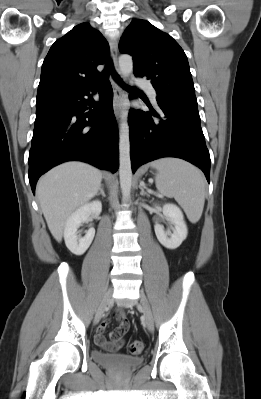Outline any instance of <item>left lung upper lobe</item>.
<instances>
[{
    "instance_id": "5c2ea615",
    "label": "left lung upper lobe",
    "mask_w": 261,
    "mask_h": 399,
    "mask_svg": "<svg viewBox=\"0 0 261 399\" xmlns=\"http://www.w3.org/2000/svg\"><path fill=\"white\" fill-rule=\"evenodd\" d=\"M119 49L133 57L136 76L151 80L157 100L197 101L186 54L170 35L137 19L124 31Z\"/></svg>"
}]
</instances>
